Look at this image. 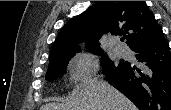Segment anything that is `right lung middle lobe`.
Instances as JSON below:
<instances>
[{
	"label": "right lung middle lobe",
	"mask_w": 171,
	"mask_h": 110,
	"mask_svg": "<svg viewBox=\"0 0 171 110\" xmlns=\"http://www.w3.org/2000/svg\"><path fill=\"white\" fill-rule=\"evenodd\" d=\"M93 53L99 54L100 56H103L101 59L102 66L104 68L105 74L115 70L116 68L122 66L125 62L119 63V65H115L114 62H112L107 55L103 53L102 50L98 51H92ZM74 54L72 55H62L58 56L56 58H53L51 61H49V68L46 73V80L51 81L55 80L57 78H60L63 76L66 66L68 64V61L73 57Z\"/></svg>",
	"instance_id": "right-lung-middle-lobe-1"
}]
</instances>
